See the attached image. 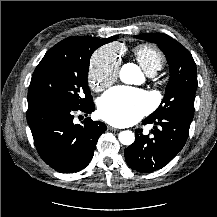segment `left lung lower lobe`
Wrapping results in <instances>:
<instances>
[{
    "mask_svg": "<svg viewBox=\"0 0 217 217\" xmlns=\"http://www.w3.org/2000/svg\"><path fill=\"white\" fill-rule=\"evenodd\" d=\"M191 121L192 119L177 114L156 119L147 117L142 123L155 125V130L151 131L154 136H145L139 129L135 131V142L125 149L129 167L141 173L163 168L185 145Z\"/></svg>",
    "mask_w": 217,
    "mask_h": 217,
    "instance_id": "1",
    "label": "left lung lower lobe"
}]
</instances>
